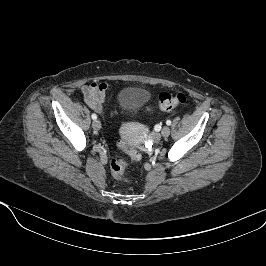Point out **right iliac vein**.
<instances>
[{"mask_svg": "<svg viewBox=\"0 0 266 266\" xmlns=\"http://www.w3.org/2000/svg\"><path fill=\"white\" fill-rule=\"evenodd\" d=\"M92 127L95 129V130H100L101 128V122L99 120H94L93 123H92Z\"/></svg>", "mask_w": 266, "mask_h": 266, "instance_id": "obj_1", "label": "right iliac vein"}]
</instances>
